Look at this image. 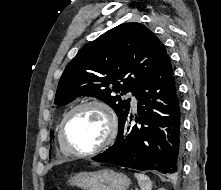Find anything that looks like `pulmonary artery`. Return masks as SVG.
Wrapping results in <instances>:
<instances>
[{
	"label": "pulmonary artery",
	"instance_id": "pulmonary-artery-1",
	"mask_svg": "<svg viewBox=\"0 0 221 190\" xmlns=\"http://www.w3.org/2000/svg\"><path fill=\"white\" fill-rule=\"evenodd\" d=\"M128 97H131V99H132V104H133V106L135 107V106L137 105V101H136L135 97L132 96L131 93L128 94Z\"/></svg>",
	"mask_w": 221,
	"mask_h": 190
}]
</instances>
